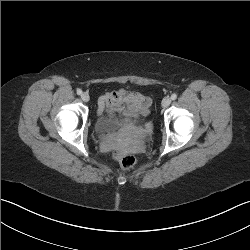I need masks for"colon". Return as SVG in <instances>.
<instances>
[{"label": "colon", "instance_id": "obj_1", "mask_svg": "<svg viewBox=\"0 0 250 250\" xmlns=\"http://www.w3.org/2000/svg\"><path fill=\"white\" fill-rule=\"evenodd\" d=\"M111 154L123 170H130L135 166V157L133 155L125 153L120 148H114Z\"/></svg>", "mask_w": 250, "mask_h": 250}]
</instances>
